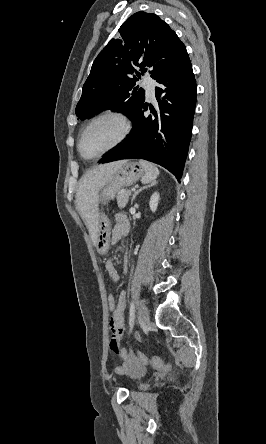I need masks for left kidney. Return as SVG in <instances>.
<instances>
[{
    "label": "left kidney",
    "mask_w": 266,
    "mask_h": 444,
    "mask_svg": "<svg viewBox=\"0 0 266 444\" xmlns=\"http://www.w3.org/2000/svg\"><path fill=\"white\" fill-rule=\"evenodd\" d=\"M159 194L157 192H155L151 198H150V202H149V206L152 212H155L158 206V202H159Z\"/></svg>",
    "instance_id": "obj_1"
}]
</instances>
